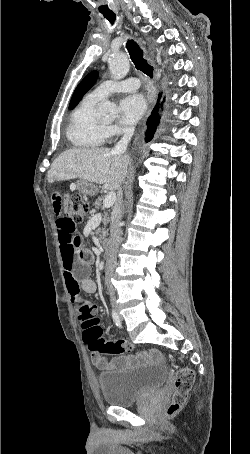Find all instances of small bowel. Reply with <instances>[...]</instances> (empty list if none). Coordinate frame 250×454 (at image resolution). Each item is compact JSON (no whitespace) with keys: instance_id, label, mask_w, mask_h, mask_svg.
Wrapping results in <instances>:
<instances>
[{"instance_id":"c3829d8e","label":"small bowel","mask_w":250,"mask_h":454,"mask_svg":"<svg viewBox=\"0 0 250 454\" xmlns=\"http://www.w3.org/2000/svg\"><path fill=\"white\" fill-rule=\"evenodd\" d=\"M66 189L57 190L52 195L53 206L57 212L61 210L65 201ZM58 239L60 243L64 279L73 306L79 320L88 313L96 314V307L90 303L85 294L96 291L95 281L89 277L90 265L93 261L92 252L81 244V237L77 232L76 224L67 216H59L56 220ZM149 357L159 359L155 351L149 352ZM92 362L101 370H107L113 366V362L101 354L92 352ZM131 357L126 358V363H131Z\"/></svg>"}]
</instances>
